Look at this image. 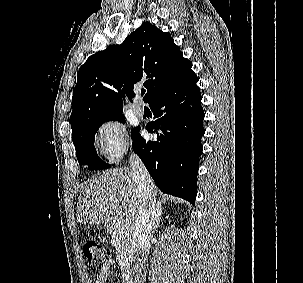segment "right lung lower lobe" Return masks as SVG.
I'll return each instance as SVG.
<instances>
[{
  "label": "right lung lower lobe",
  "mask_w": 303,
  "mask_h": 283,
  "mask_svg": "<svg viewBox=\"0 0 303 283\" xmlns=\"http://www.w3.org/2000/svg\"><path fill=\"white\" fill-rule=\"evenodd\" d=\"M197 82L193 72L149 102L155 121L146 128L157 134V141H146L139 133L133 139L134 152L159 189L193 205L202 153L201 137L205 133V114Z\"/></svg>",
  "instance_id": "98d812e1"
}]
</instances>
